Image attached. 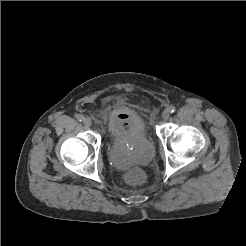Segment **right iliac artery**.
<instances>
[{
	"mask_svg": "<svg viewBox=\"0 0 246 246\" xmlns=\"http://www.w3.org/2000/svg\"><path fill=\"white\" fill-rule=\"evenodd\" d=\"M76 117H77V119L79 121H83L84 120V116L82 114H78Z\"/></svg>",
	"mask_w": 246,
	"mask_h": 246,
	"instance_id": "1",
	"label": "right iliac artery"
}]
</instances>
